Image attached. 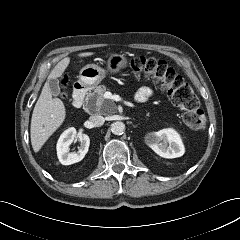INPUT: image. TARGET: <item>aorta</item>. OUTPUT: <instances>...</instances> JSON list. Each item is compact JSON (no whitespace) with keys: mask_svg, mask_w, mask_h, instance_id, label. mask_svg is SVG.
Listing matches in <instances>:
<instances>
[{"mask_svg":"<svg viewBox=\"0 0 240 240\" xmlns=\"http://www.w3.org/2000/svg\"><path fill=\"white\" fill-rule=\"evenodd\" d=\"M111 131L115 135H121L125 131V124L120 121L114 122L111 125Z\"/></svg>","mask_w":240,"mask_h":240,"instance_id":"762f6f07","label":"aorta"}]
</instances>
